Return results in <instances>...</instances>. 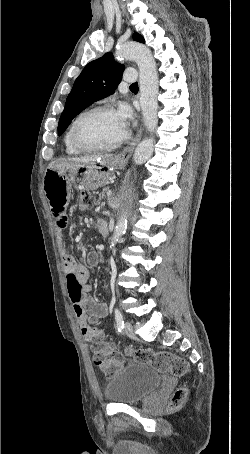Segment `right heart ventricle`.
Listing matches in <instances>:
<instances>
[{
  "label": "right heart ventricle",
  "mask_w": 250,
  "mask_h": 454,
  "mask_svg": "<svg viewBox=\"0 0 250 454\" xmlns=\"http://www.w3.org/2000/svg\"><path fill=\"white\" fill-rule=\"evenodd\" d=\"M75 120H73V122L70 124V126L68 127V129H67V131L65 133V136H64V143H65L66 152L68 154H71V155H76V154H79V153L82 152L79 149H77L71 142V130H72V126H73Z\"/></svg>",
  "instance_id": "1"
}]
</instances>
